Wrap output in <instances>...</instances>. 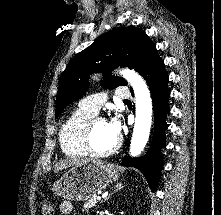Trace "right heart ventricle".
I'll list each match as a JSON object with an SVG mask.
<instances>
[{
    "label": "right heart ventricle",
    "mask_w": 221,
    "mask_h": 215,
    "mask_svg": "<svg viewBox=\"0 0 221 215\" xmlns=\"http://www.w3.org/2000/svg\"><path fill=\"white\" fill-rule=\"evenodd\" d=\"M95 114L81 108L73 111L62 125L59 142L63 152L69 156H86L83 145V134L88 120Z\"/></svg>",
    "instance_id": "e07e8e85"
}]
</instances>
